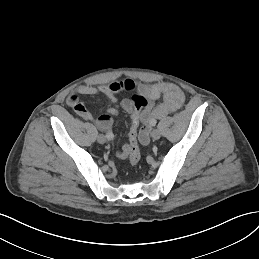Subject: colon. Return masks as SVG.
I'll return each instance as SVG.
<instances>
[{"mask_svg": "<svg viewBox=\"0 0 259 259\" xmlns=\"http://www.w3.org/2000/svg\"><path fill=\"white\" fill-rule=\"evenodd\" d=\"M133 111L131 114V127L129 132V163L136 166L140 161V148L138 143V128L141 123V112L147 107L148 101L145 96L135 94L131 98Z\"/></svg>", "mask_w": 259, "mask_h": 259, "instance_id": "5ec220e1", "label": "colon"}]
</instances>
